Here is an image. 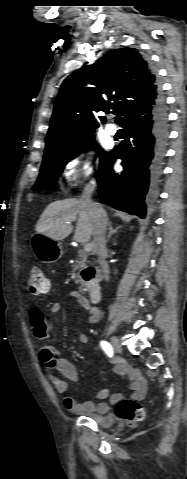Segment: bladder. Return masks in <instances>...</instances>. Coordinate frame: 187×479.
<instances>
[{
  "label": "bladder",
  "mask_w": 187,
  "mask_h": 479,
  "mask_svg": "<svg viewBox=\"0 0 187 479\" xmlns=\"http://www.w3.org/2000/svg\"><path fill=\"white\" fill-rule=\"evenodd\" d=\"M84 417L90 418L101 427H111L114 423V420L106 415H99L95 413H85Z\"/></svg>",
  "instance_id": "bladder-1"
}]
</instances>
